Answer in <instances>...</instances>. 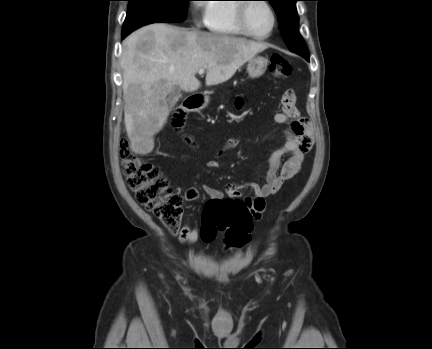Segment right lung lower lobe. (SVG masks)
<instances>
[{
    "instance_id": "right-lung-lower-lobe-1",
    "label": "right lung lower lobe",
    "mask_w": 432,
    "mask_h": 349,
    "mask_svg": "<svg viewBox=\"0 0 432 349\" xmlns=\"http://www.w3.org/2000/svg\"><path fill=\"white\" fill-rule=\"evenodd\" d=\"M128 34L122 33V38H125Z\"/></svg>"
}]
</instances>
